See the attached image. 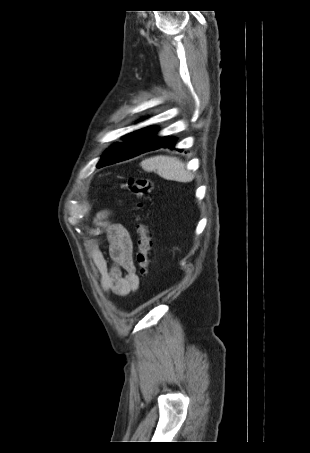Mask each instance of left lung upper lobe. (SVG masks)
Returning <instances> with one entry per match:
<instances>
[{"label": "left lung upper lobe", "instance_id": "left-lung-upper-lobe-1", "mask_svg": "<svg viewBox=\"0 0 310 453\" xmlns=\"http://www.w3.org/2000/svg\"><path fill=\"white\" fill-rule=\"evenodd\" d=\"M156 132V129L147 127L125 135L123 137L125 141L112 145L105 152L97 167H103L136 156L142 148L164 138L156 137Z\"/></svg>", "mask_w": 310, "mask_h": 453}]
</instances>
